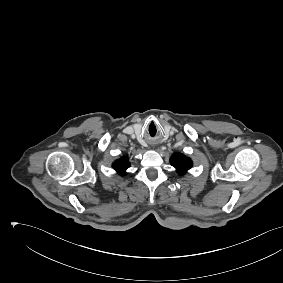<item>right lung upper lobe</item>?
I'll use <instances>...</instances> for the list:
<instances>
[{"instance_id":"cb5924a9","label":"right lung upper lobe","mask_w":283,"mask_h":283,"mask_svg":"<svg viewBox=\"0 0 283 283\" xmlns=\"http://www.w3.org/2000/svg\"><path fill=\"white\" fill-rule=\"evenodd\" d=\"M113 168L120 174H125V170L130 166V162L127 157H122L113 163Z\"/></svg>"}]
</instances>
